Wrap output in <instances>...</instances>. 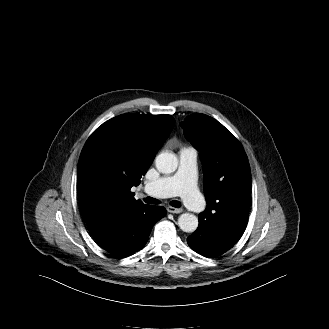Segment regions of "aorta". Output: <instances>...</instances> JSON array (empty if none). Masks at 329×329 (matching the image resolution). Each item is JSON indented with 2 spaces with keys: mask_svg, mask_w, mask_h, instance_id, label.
Here are the masks:
<instances>
[{
  "mask_svg": "<svg viewBox=\"0 0 329 329\" xmlns=\"http://www.w3.org/2000/svg\"><path fill=\"white\" fill-rule=\"evenodd\" d=\"M155 165L160 173L170 174L177 169L178 159L171 152H162L156 157ZM178 226L184 232H194L198 227V218L194 214L183 213L178 218Z\"/></svg>",
  "mask_w": 329,
  "mask_h": 329,
  "instance_id": "762f6f07",
  "label": "aorta"
}]
</instances>
